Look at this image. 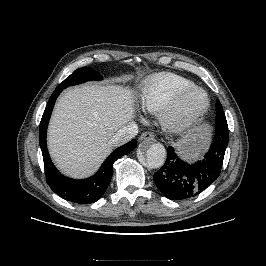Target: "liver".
I'll list each match as a JSON object with an SVG mask.
<instances>
[{
    "instance_id": "6515ba94",
    "label": "liver",
    "mask_w": 266,
    "mask_h": 266,
    "mask_svg": "<svg viewBox=\"0 0 266 266\" xmlns=\"http://www.w3.org/2000/svg\"><path fill=\"white\" fill-rule=\"evenodd\" d=\"M134 113L127 87L84 85L65 91L48 128V148L57 167L74 178L93 174L111 152L112 136Z\"/></svg>"
}]
</instances>
